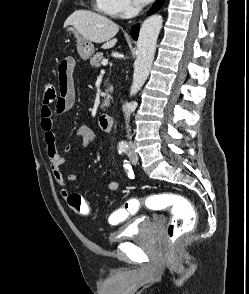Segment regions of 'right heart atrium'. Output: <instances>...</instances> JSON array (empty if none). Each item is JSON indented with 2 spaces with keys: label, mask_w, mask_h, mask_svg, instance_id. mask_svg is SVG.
I'll return each instance as SVG.
<instances>
[{
  "label": "right heart atrium",
  "mask_w": 249,
  "mask_h": 294,
  "mask_svg": "<svg viewBox=\"0 0 249 294\" xmlns=\"http://www.w3.org/2000/svg\"><path fill=\"white\" fill-rule=\"evenodd\" d=\"M114 16H128L134 8L132 0H110Z\"/></svg>",
  "instance_id": "d8ad5b80"
}]
</instances>
